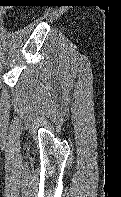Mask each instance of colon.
<instances>
[{
	"instance_id": "obj_1",
	"label": "colon",
	"mask_w": 121,
	"mask_h": 197,
	"mask_svg": "<svg viewBox=\"0 0 121 197\" xmlns=\"http://www.w3.org/2000/svg\"><path fill=\"white\" fill-rule=\"evenodd\" d=\"M6 9H7L6 5H0V14L1 15L4 14Z\"/></svg>"
}]
</instances>
